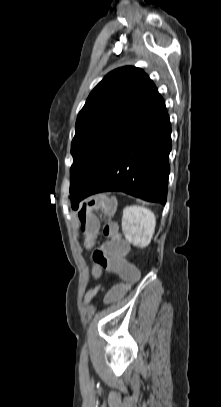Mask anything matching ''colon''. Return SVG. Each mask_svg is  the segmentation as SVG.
Segmentation results:
<instances>
[{
	"instance_id": "5ec220e1",
	"label": "colon",
	"mask_w": 221,
	"mask_h": 407,
	"mask_svg": "<svg viewBox=\"0 0 221 407\" xmlns=\"http://www.w3.org/2000/svg\"><path fill=\"white\" fill-rule=\"evenodd\" d=\"M101 211L107 218L114 216L116 212V202L104 195H97L85 201L77 212L80 229L84 234V244L87 250H92L94 240L99 230V222L94 215V211ZM103 234L108 237L104 245L92 251L91 264L94 277H103L104 270L117 273L118 279L123 282H116L115 286L107 289L103 296L104 304H120L125 295L130 293L128 284H138L140 272L138 265H133L131 260H126L124 255L128 252V244L122 238L115 222L109 220L102 227Z\"/></svg>"
}]
</instances>
